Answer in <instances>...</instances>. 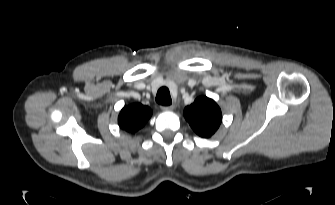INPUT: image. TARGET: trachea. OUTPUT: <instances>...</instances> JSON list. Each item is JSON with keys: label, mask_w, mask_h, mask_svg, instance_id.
Instances as JSON below:
<instances>
[{"label": "trachea", "mask_w": 335, "mask_h": 205, "mask_svg": "<svg viewBox=\"0 0 335 205\" xmlns=\"http://www.w3.org/2000/svg\"><path fill=\"white\" fill-rule=\"evenodd\" d=\"M156 102L164 106H168L172 104L170 92L167 87H161L158 90L157 95H156Z\"/></svg>", "instance_id": "3493384b"}]
</instances>
